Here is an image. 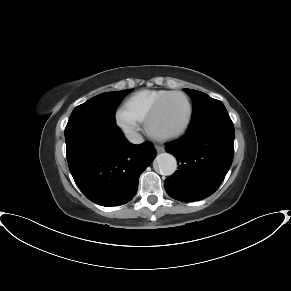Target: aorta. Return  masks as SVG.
<instances>
[{"instance_id":"762f6f07","label":"aorta","mask_w":291,"mask_h":291,"mask_svg":"<svg viewBox=\"0 0 291 291\" xmlns=\"http://www.w3.org/2000/svg\"><path fill=\"white\" fill-rule=\"evenodd\" d=\"M156 163L161 175L171 176L177 169L176 158L169 153H162L157 155Z\"/></svg>"}]
</instances>
